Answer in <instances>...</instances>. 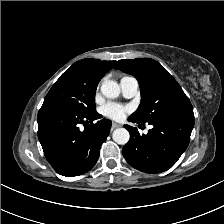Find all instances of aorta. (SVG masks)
Segmentation results:
<instances>
[{
  "instance_id": "obj_1",
  "label": "aorta",
  "mask_w": 224,
  "mask_h": 224,
  "mask_svg": "<svg viewBox=\"0 0 224 224\" xmlns=\"http://www.w3.org/2000/svg\"><path fill=\"white\" fill-rule=\"evenodd\" d=\"M101 92L106 98H117L120 94V87L116 82L107 80L102 83ZM112 138L117 144L125 145L130 135L125 128H118L113 131Z\"/></svg>"
}]
</instances>
